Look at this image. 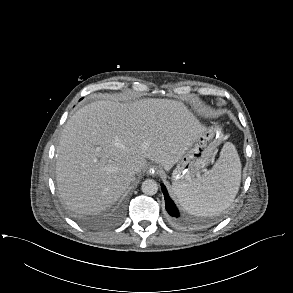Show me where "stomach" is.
<instances>
[{
  "instance_id": "stomach-1",
  "label": "stomach",
  "mask_w": 293,
  "mask_h": 293,
  "mask_svg": "<svg viewBox=\"0 0 293 293\" xmlns=\"http://www.w3.org/2000/svg\"><path fill=\"white\" fill-rule=\"evenodd\" d=\"M222 140L223 133L219 126L205 128L204 133L175 163L176 166L172 173L173 190L179 185L199 177L200 172L213 159L215 150Z\"/></svg>"
}]
</instances>
